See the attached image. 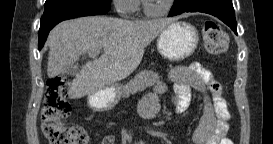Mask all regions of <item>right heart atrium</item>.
Returning a JSON list of instances; mask_svg holds the SVG:
<instances>
[{
  "instance_id": "1",
  "label": "right heart atrium",
  "mask_w": 273,
  "mask_h": 144,
  "mask_svg": "<svg viewBox=\"0 0 273 144\" xmlns=\"http://www.w3.org/2000/svg\"><path fill=\"white\" fill-rule=\"evenodd\" d=\"M112 3L116 11L122 16L133 14L138 9L136 0H113Z\"/></svg>"
}]
</instances>
